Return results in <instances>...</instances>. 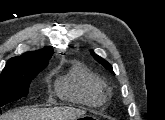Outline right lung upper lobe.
I'll return each mask as SVG.
<instances>
[{
	"label": "right lung upper lobe",
	"mask_w": 165,
	"mask_h": 120,
	"mask_svg": "<svg viewBox=\"0 0 165 120\" xmlns=\"http://www.w3.org/2000/svg\"><path fill=\"white\" fill-rule=\"evenodd\" d=\"M53 50L49 47L35 52H27L19 57L11 58L6 66L24 64V63H48L51 58Z\"/></svg>",
	"instance_id": "right-lung-upper-lobe-1"
}]
</instances>
